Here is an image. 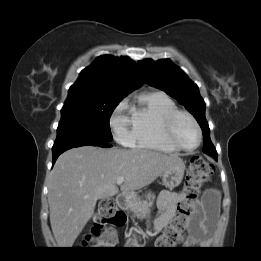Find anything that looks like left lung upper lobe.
<instances>
[{
	"label": "left lung upper lobe",
	"instance_id": "left-lung-upper-lobe-1",
	"mask_svg": "<svg viewBox=\"0 0 261 261\" xmlns=\"http://www.w3.org/2000/svg\"><path fill=\"white\" fill-rule=\"evenodd\" d=\"M145 82L165 91L178 100L196 118L204 136L203 152L217 158V151L210 140V129L205 119V102L197 85L168 59L138 61Z\"/></svg>",
	"mask_w": 261,
	"mask_h": 261
}]
</instances>
